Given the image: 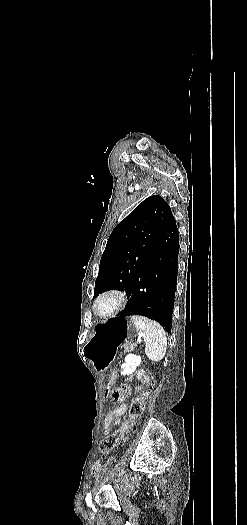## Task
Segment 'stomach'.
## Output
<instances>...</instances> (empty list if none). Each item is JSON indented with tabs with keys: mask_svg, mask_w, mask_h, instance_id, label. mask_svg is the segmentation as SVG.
Wrapping results in <instances>:
<instances>
[{
	"mask_svg": "<svg viewBox=\"0 0 247 525\" xmlns=\"http://www.w3.org/2000/svg\"><path fill=\"white\" fill-rule=\"evenodd\" d=\"M137 333L138 329L131 318H111L96 326L84 348V355L97 371L103 372L113 361L121 345Z\"/></svg>",
	"mask_w": 247,
	"mask_h": 525,
	"instance_id": "0dacf381",
	"label": "stomach"
}]
</instances>
